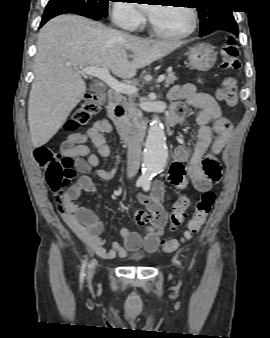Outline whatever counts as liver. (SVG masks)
Listing matches in <instances>:
<instances>
[{
    "instance_id": "6515ba94",
    "label": "liver",
    "mask_w": 270,
    "mask_h": 338,
    "mask_svg": "<svg viewBox=\"0 0 270 338\" xmlns=\"http://www.w3.org/2000/svg\"><path fill=\"white\" fill-rule=\"evenodd\" d=\"M181 44L134 37L78 15L51 19L38 35L35 79L28 100L33 146L46 144L84 96V68L106 67L117 77L131 79L138 69Z\"/></svg>"
}]
</instances>
